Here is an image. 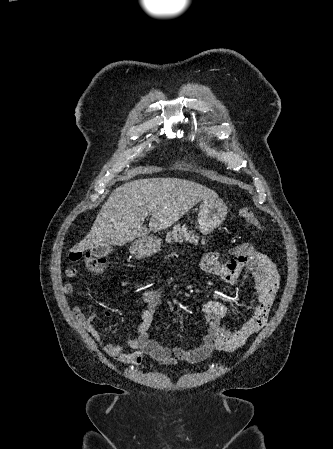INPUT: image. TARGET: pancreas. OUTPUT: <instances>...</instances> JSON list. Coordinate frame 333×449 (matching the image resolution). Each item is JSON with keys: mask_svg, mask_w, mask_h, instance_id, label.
<instances>
[{"mask_svg": "<svg viewBox=\"0 0 333 449\" xmlns=\"http://www.w3.org/2000/svg\"><path fill=\"white\" fill-rule=\"evenodd\" d=\"M177 232H179L180 234H178ZM173 238L178 241H182L184 239L190 243H198V237L194 236L193 231H187V227L185 225H177L174 227V230L172 232L167 234L168 242H171ZM202 243L205 244V241H202Z\"/></svg>", "mask_w": 333, "mask_h": 449, "instance_id": "obj_1", "label": "pancreas"}]
</instances>
